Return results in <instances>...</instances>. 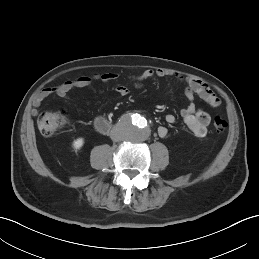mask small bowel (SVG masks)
<instances>
[{
	"instance_id": "obj_1",
	"label": "small bowel",
	"mask_w": 259,
	"mask_h": 259,
	"mask_svg": "<svg viewBox=\"0 0 259 259\" xmlns=\"http://www.w3.org/2000/svg\"><path fill=\"white\" fill-rule=\"evenodd\" d=\"M174 73L166 69H159L157 71L145 70L137 75L132 76L134 85L140 86L142 82L152 79L153 77L164 78L172 76ZM119 75L115 72L96 73L93 75H84L72 80H68L62 84L45 88L39 91L33 98V107L38 108L47 98L51 96H58L61 98L68 97L71 90L75 88H83L90 86L94 81L108 83L117 79ZM177 78L185 84L184 93L188 100L186 107L182 108L180 114L183 121L190 132L197 138H203L210 123L209 115L203 110L196 107L194 102L195 95L199 96L211 107H218L221 103L218 95L210 88L209 85L203 81L191 77H184L177 75ZM116 92L121 96H126L129 93V88L125 85H117ZM167 123H174L176 117L173 114L166 115ZM159 137L165 138L169 131L165 126H160L157 130Z\"/></svg>"
}]
</instances>
